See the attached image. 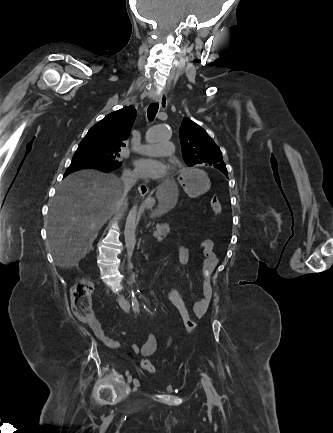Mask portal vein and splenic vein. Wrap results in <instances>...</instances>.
<instances>
[{
    "label": "portal vein and splenic vein",
    "mask_w": 333,
    "mask_h": 433,
    "mask_svg": "<svg viewBox=\"0 0 333 433\" xmlns=\"http://www.w3.org/2000/svg\"><path fill=\"white\" fill-rule=\"evenodd\" d=\"M154 236L156 237L157 241H161V240H162V237H159V236L156 234V232H154Z\"/></svg>",
    "instance_id": "obj_1"
}]
</instances>
